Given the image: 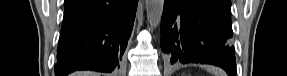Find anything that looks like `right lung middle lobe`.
I'll list each match as a JSON object with an SVG mask.
<instances>
[{"label": "right lung middle lobe", "mask_w": 287, "mask_h": 76, "mask_svg": "<svg viewBox=\"0 0 287 76\" xmlns=\"http://www.w3.org/2000/svg\"><path fill=\"white\" fill-rule=\"evenodd\" d=\"M74 2L69 1V0H65V8L71 6Z\"/></svg>", "instance_id": "obj_1"}]
</instances>
